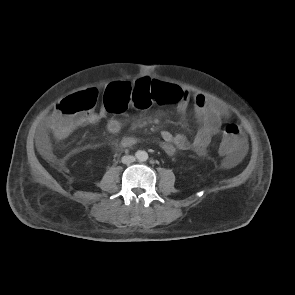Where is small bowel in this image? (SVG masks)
Listing matches in <instances>:
<instances>
[{
  "label": "small bowel",
  "mask_w": 295,
  "mask_h": 295,
  "mask_svg": "<svg viewBox=\"0 0 295 295\" xmlns=\"http://www.w3.org/2000/svg\"><path fill=\"white\" fill-rule=\"evenodd\" d=\"M142 81L150 80L148 78H140L130 84L132 87H135L137 83ZM175 87L177 88V98L175 100L177 112L183 115L192 103L199 126L191 139H188L183 134H175L167 130L162 131L160 134V147L169 156H172L177 149L192 150L199 155H205L212 136L218 132L223 120L228 117L229 112L224 106L208 100L202 94H192L181 86ZM55 115L56 114L54 113L47 119L44 127L38 135V143L43 149H48L49 147L48 133L50 131L52 132V124L54 122ZM107 115L108 109L103 106L99 112L87 115L81 124L98 123L106 119ZM121 127V122L117 118H108L107 129L110 133L117 134L121 130ZM136 142L137 140L134 137L126 136L121 139L120 145L123 148H129L134 146ZM244 150L245 146L243 141H241L237 150L227 153L226 164L230 167L238 164L244 154Z\"/></svg>",
  "instance_id": "small-bowel-1"
}]
</instances>
